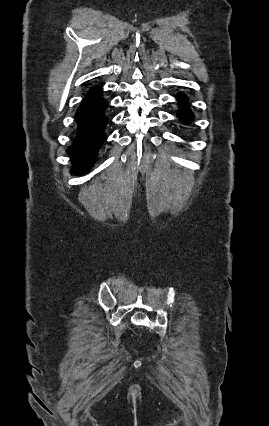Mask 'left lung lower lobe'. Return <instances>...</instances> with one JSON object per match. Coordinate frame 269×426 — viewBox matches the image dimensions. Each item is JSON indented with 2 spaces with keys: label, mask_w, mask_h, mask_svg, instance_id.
<instances>
[{
  "label": "left lung lower lobe",
  "mask_w": 269,
  "mask_h": 426,
  "mask_svg": "<svg viewBox=\"0 0 269 426\" xmlns=\"http://www.w3.org/2000/svg\"><path fill=\"white\" fill-rule=\"evenodd\" d=\"M180 106L182 107L179 111V113L177 114L178 118L184 120V121H188L191 120L193 118L192 113L188 110V106L186 105V98L184 95H179L177 97Z\"/></svg>",
  "instance_id": "0a47b994"
}]
</instances>
